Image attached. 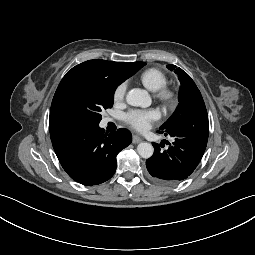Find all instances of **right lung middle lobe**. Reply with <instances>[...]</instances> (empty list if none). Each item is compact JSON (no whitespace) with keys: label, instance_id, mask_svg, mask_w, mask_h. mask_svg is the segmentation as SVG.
<instances>
[{"label":"right lung middle lobe","instance_id":"obj_1","mask_svg":"<svg viewBox=\"0 0 255 255\" xmlns=\"http://www.w3.org/2000/svg\"><path fill=\"white\" fill-rule=\"evenodd\" d=\"M118 85L103 75L67 73L53 97L49 124L98 125L100 112L113 106Z\"/></svg>","mask_w":255,"mask_h":255}]
</instances>
